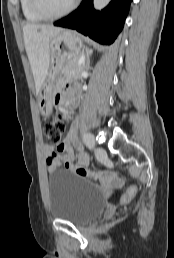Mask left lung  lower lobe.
I'll use <instances>...</instances> for the list:
<instances>
[{"label": "left lung lower lobe", "mask_w": 174, "mask_h": 258, "mask_svg": "<svg viewBox=\"0 0 174 258\" xmlns=\"http://www.w3.org/2000/svg\"><path fill=\"white\" fill-rule=\"evenodd\" d=\"M132 0H112L101 12L93 9V0H82L80 6L55 26L77 30L100 44L110 45L123 28Z\"/></svg>", "instance_id": "1"}]
</instances>
